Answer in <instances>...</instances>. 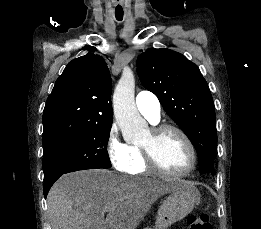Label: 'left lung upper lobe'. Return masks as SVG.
Wrapping results in <instances>:
<instances>
[{
	"label": "left lung upper lobe",
	"instance_id": "5c2ea615",
	"mask_svg": "<svg viewBox=\"0 0 261 229\" xmlns=\"http://www.w3.org/2000/svg\"><path fill=\"white\" fill-rule=\"evenodd\" d=\"M137 73L142 85L158 97L167 114L192 142L200 172L214 169L215 107L197 65L170 49L150 48L138 56Z\"/></svg>",
	"mask_w": 261,
	"mask_h": 229
}]
</instances>
